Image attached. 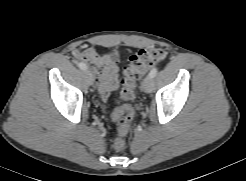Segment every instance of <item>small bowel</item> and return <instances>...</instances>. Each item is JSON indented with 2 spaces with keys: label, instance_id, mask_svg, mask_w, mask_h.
I'll use <instances>...</instances> for the list:
<instances>
[{
  "label": "small bowel",
  "instance_id": "obj_1",
  "mask_svg": "<svg viewBox=\"0 0 246 181\" xmlns=\"http://www.w3.org/2000/svg\"><path fill=\"white\" fill-rule=\"evenodd\" d=\"M73 55L77 60L92 65L97 75L96 87L102 98L107 99L117 85L119 52L102 54L96 48L88 47L85 50H75Z\"/></svg>",
  "mask_w": 246,
  "mask_h": 181
}]
</instances>
